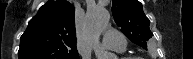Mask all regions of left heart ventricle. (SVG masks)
Returning a JSON list of instances; mask_svg holds the SVG:
<instances>
[{"label": "left heart ventricle", "mask_w": 193, "mask_h": 59, "mask_svg": "<svg viewBox=\"0 0 193 59\" xmlns=\"http://www.w3.org/2000/svg\"><path fill=\"white\" fill-rule=\"evenodd\" d=\"M105 51H106L107 53H115V50L109 49V48L105 49Z\"/></svg>", "instance_id": "left-heart-ventricle-1"}]
</instances>
